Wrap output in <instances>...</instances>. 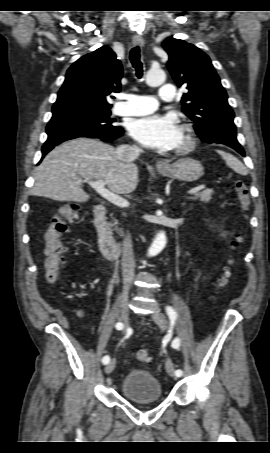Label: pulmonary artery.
<instances>
[{"instance_id":"obj_1","label":"pulmonary artery","mask_w":270,"mask_h":453,"mask_svg":"<svg viewBox=\"0 0 270 453\" xmlns=\"http://www.w3.org/2000/svg\"><path fill=\"white\" fill-rule=\"evenodd\" d=\"M159 96L162 100L171 101L175 96V87L166 84L160 87ZM125 102L115 108L117 115L136 116L151 113L157 109V101L152 96H140L127 94L124 96Z\"/></svg>"}]
</instances>
